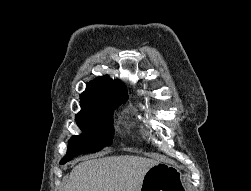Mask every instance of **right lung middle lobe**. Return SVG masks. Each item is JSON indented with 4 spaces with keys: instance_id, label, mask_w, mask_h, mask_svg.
<instances>
[{
    "instance_id": "obj_1",
    "label": "right lung middle lobe",
    "mask_w": 251,
    "mask_h": 191,
    "mask_svg": "<svg viewBox=\"0 0 251 191\" xmlns=\"http://www.w3.org/2000/svg\"><path fill=\"white\" fill-rule=\"evenodd\" d=\"M121 104L81 109L76 115L77 125L84 131L82 136H72L68 142L64 164L80 153H93L112 144L113 111Z\"/></svg>"
}]
</instances>
